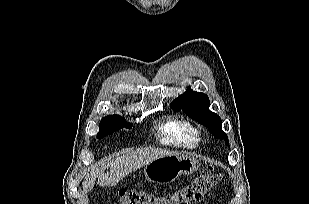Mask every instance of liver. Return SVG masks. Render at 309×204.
Wrapping results in <instances>:
<instances>
[{"mask_svg":"<svg viewBox=\"0 0 309 204\" xmlns=\"http://www.w3.org/2000/svg\"><path fill=\"white\" fill-rule=\"evenodd\" d=\"M176 153L170 150L161 148H142L135 151H131L123 156L112 159L108 166L110 171L103 173V169L99 166H94L85 177V181L82 183L85 193L93 189L95 181L98 178L97 183L103 187L116 186L119 181L125 178L133 171L149 164L150 162L168 155H175ZM104 166V163L100 164ZM104 168V167H103Z\"/></svg>","mask_w":309,"mask_h":204,"instance_id":"liver-1","label":"liver"}]
</instances>
